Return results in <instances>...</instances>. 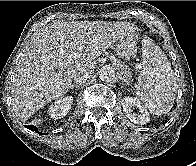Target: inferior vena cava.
I'll return each mask as SVG.
<instances>
[{
    "label": "inferior vena cava",
    "instance_id": "inferior-vena-cava-1",
    "mask_svg": "<svg viewBox=\"0 0 196 166\" xmlns=\"http://www.w3.org/2000/svg\"><path fill=\"white\" fill-rule=\"evenodd\" d=\"M92 72L91 71H87V70H82L79 72H76L73 76V81L76 84H82L84 83L87 79L90 78Z\"/></svg>",
    "mask_w": 196,
    "mask_h": 166
}]
</instances>
